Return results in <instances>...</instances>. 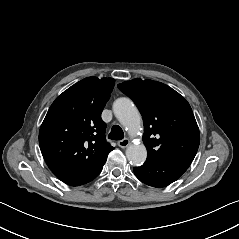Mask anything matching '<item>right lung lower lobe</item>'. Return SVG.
Masks as SVG:
<instances>
[{
    "label": "right lung lower lobe",
    "mask_w": 239,
    "mask_h": 239,
    "mask_svg": "<svg viewBox=\"0 0 239 239\" xmlns=\"http://www.w3.org/2000/svg\"><path fill=\"white\" fill-rule=\"evenodd\" d=\"M106 160L98 167L86 172L53 171V174L70 186H80L94 180L101 172Z\"/></svg>",
    "instance_id": "1"
}]
</instances>
